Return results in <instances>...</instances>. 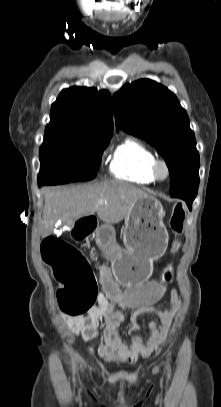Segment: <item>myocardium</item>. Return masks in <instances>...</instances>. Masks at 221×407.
Wrapping results in <instances>:
<instances>
[{"mask_svg":"<svg viewBox=\"0 0 221 407\" xmlns=\"http://www.w3.org/2000/svg\"><path fill=\"white\" fill-rule=\"evenodd\" d=\"M151 170L157 181H164L170 176V167L164 159H156L152 164Z\"/></svg>","mask_w":221,"mask_h":407,"instance_id":"obj_1","label":"myocardium"}]
</instances>
